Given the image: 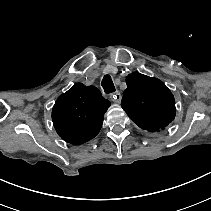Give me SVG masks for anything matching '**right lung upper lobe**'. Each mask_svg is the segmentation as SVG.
I'll return each instance as SVG.
<instances>
[{
    "mask_svg": "<svg viewBox=\"0 0 211 211\" xmlns=\"http://www.w3.org/2000/svg\"><path fill=\"white\" fill-rule=\"evenodd\" d=\"M110 105L96 87L76 83L56 100L52 109L54 127L66 142L85 143L99 133Z\"/></svg>",
    "mask_w": 211,
    "mask_h": 211,
    "instance_id": "1",
    "label": "right lung upper lobe"
}]
</instances>
